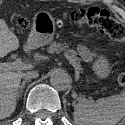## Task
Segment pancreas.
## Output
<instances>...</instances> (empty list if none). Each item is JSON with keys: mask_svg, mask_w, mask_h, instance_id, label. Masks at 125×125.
I'll list each match as a JSON object with an SVG mask.
<instances>
[{"mask_svg": "<svg viewBox=\"0 0 125 125\" xmlns=\"http://www.w3.org/2000/svg\"><path fill=\"white\" fill-rule=\"evenodd\" d=\"M48 52L57 54L60 52H64L71 57V59L76 63L78 67H80V59L76 56V52L73 49H70L66 43L53 42L52 44H50Z\"/></svg>", "mask_w": 125, "mask_h": 125, "instance_id": "cf45deb5", "label": "pancreas"}]
</instances>
